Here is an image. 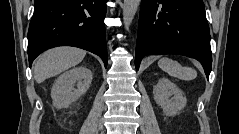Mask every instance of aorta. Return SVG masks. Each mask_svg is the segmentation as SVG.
<instances>
[{"instance_id": "aorta-1", "label": "aorta", "mask_w": 239, "mask_h": 134, "mask_svg": "<svg viewBox=\"0 0 239 134\" xmlns=\"http://www.w3.org/2000/svg\"><path fill=\"white\" fill-rule=\"evenodd\" d=\"M139 4H140V0H124L123 22H124V26L126 30H129V27L138 10Z\"/></svg>"}]
</instances>
